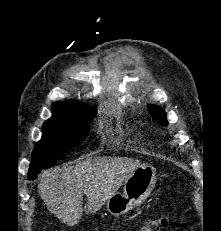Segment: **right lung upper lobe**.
<instances>
[{
	"instance_id": "1",
	"label": "right lung upper lobe",
	"mask_w": 221,
	"mask_h": 231,
	"mask_svg": "<svg viewBox=\"0 0 221 231\" xmlns=\"http://www.w3.org/2000/svg\"><path fill=\"white\" fill-rule=\"evenodd\" d=\"M87 112L83 104L73 101L55 102L52 105L53 115L76 116Z\"/></svg>"
}]
</instances>
